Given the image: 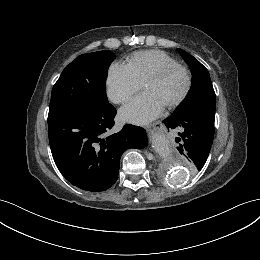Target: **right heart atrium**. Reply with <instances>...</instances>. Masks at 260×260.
I'll return each instance as SVG.
<instances>
[{
	"mask_svg": "<svg viewBox=\"0 0 260 260\" xmlns=\"http://www.w3.org/2000/svg\"><path fill=\"white\" fill-rule=\"evenodd\" d=\"M141 87L127 67L112 64L107 72L106 90L110 101L115 104L126 103Z\"/></svg>",
	"mask_w": 260,
	"mask_h": 260,
	"instance_id": "d8ad5b80",
	"label": "right heart atrium"
}]
</instances>
